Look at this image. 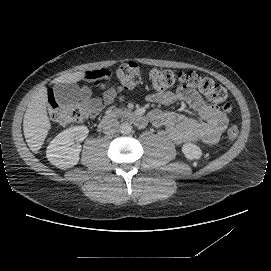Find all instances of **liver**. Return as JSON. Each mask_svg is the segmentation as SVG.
Segmentation results:
<instances>
[{"mask_svg": "<svg viewBox=\"0 0 271 271\" xmlns=\"http://www.w3.org/2000/svg\"><path fill=\"white\" fill-rule=\"evenodd\" d=\"M84 78V72L66 73L54 79V83H76ZM47 89L42 87L33 97L24 114L23 131L27 145L33 153L41 149L51 128L46 111Z\"/></svg>", "mask_w": 271, "mask_h": 271, "instance_id": "obj_1", "label": "liver"}]
</instances>
